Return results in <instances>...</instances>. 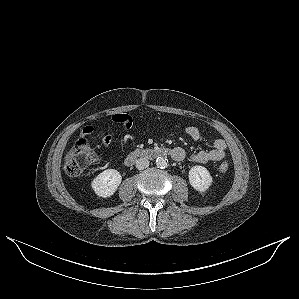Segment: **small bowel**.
Returning a JSON list of instances; mask_svg holds the SVG:
<instances>
[{"mask_svg": "<svg viewBox=\"0 0 299 299\" xmlns=\"http://www.w3.org/2000/svg\"><path fill=\"white\" fill-rule=\"evenodd\" d=\"M112 122L122 125L124 128L128 129L132 125V119L126 114H115L111 118ZM94 133V127L87 125L83 127L81 131V137H89ZM187 135L194 141L201 139V132L196 126H189L186 128ZM114 137L112 134L105 135L101 143L103 147L107 148L112 143ZM175 156L174 159L177 161H182L187 158V154L183 148H174ZM227 151V144L223 139H216L212 144V149L209 151H198L191 154L188 158L194 163H207L210 161H220L225 158Z\"/></svg>", "mask_w": 299, "mask_h": 299, "instance_id": "c3829d8e", "label": "small bowel"}]
</instances>
